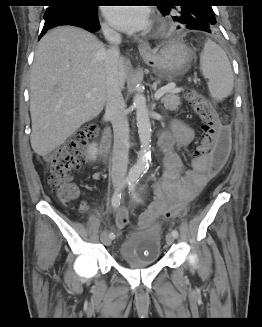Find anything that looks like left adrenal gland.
Returning <instances> with one entry per match:
<instances>
[{
  "label": "left adrenal gland",
  "mask_w": 262,
  "mask_h": 327,
  "mask_svg": "<svg viewBox=\"0 0 262 327\" xmlns=\"http://www.w3.org/2000/svg\"><path fill=\"white\" fill-rule=\"evenodd\" d=\"M152 107L155 108V103L152 104Z\"/></svg>",
  "instance_id": "1"
}]
</instances>
